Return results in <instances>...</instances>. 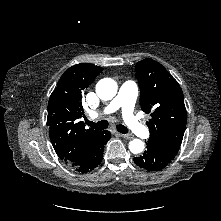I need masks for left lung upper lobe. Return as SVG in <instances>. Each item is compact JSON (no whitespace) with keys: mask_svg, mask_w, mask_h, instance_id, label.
I'll return each instance as SVG.
<instances>
[{"mask_svg":"<svg viewBox=\"0 0 221 221\" xmlns=\"http://www.w3.org/2000/svg\"><path fill=\"white\" fill-rule=\"evenodd\" d=\"M136 78L141 109L151 114L147 145L174 158L187 123L182 89L165 67L152 59L137 62Z\"/></svg>","mask_w":221,"mask_h":221,"instance_id":"5c2ea615","label":"left lung upper lobe"}]
</instances>
